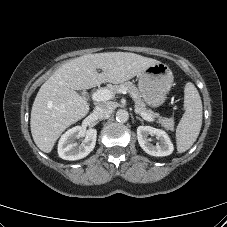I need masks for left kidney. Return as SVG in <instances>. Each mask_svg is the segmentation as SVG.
<instances>
[{
    "instance_id": "5707ae66",
    "label": "left kidney",
    "mask_w": 227,
    "mask_h": 227,
    "mask_svg": "<svg viewBox=\"0 0 227 227\" xmlns=\"http://www.w3.org/2000/svg\"><path fill=\"white\" fill-rule=\"evenodd\" d=\"M149 135L156 136L160 143L153 145L148 138ZM137 139L141 148L151 156H168L174 150L168 134L151 126H139L137 128Z\"/></svg>"
}]
</instances>
